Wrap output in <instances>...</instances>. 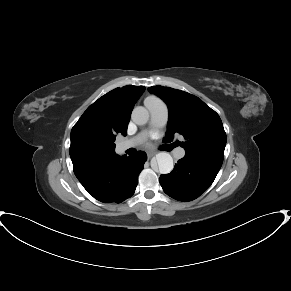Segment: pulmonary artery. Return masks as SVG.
<instances>
[{"instance_id": "obj_1", "label": "pulmonary artery", "mask_w": 291, "mask_h": 291, "mask_svg": "<svg viewBox=\"0 0 291 291\" xmlns=\"http://www.w3.org/2000/svg\"><path fill=\"white\" fill-rule=\"evenodd\" d=\"M144 103L148 110L150 111L151 115L149 130H155L163 127L168 120V107L166 103L159 98L153 100H145ZM145 134L146 132H143L134 138L119 143L117 145V150L119 152H122L126 149L136 146L144 138ZM184 155H185L184 148L176 149L173 154L174 158L176 159H182Z\"/></svg>"}]
</instances>
